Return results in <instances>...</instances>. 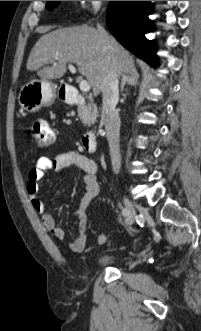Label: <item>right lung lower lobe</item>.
Instances as JSON below:
<instances>
[{
    "mask_svg": "<svg viewBox=\"0 0 201 331\" xmlns=\"http://www.w3.org/2000/svg\"><path fill=\"white\" fill-rule=\"evenodd\" d=\"M151 13L150 1H111L107 9V26L129 51L151 66H157L155 43L145 37L152 29L148 18Z\"/></svg>",
    "mask_w": 201,
    "mask_h": 331,
    "instance_id": "98d812e1",
    "label": "right lung lower lobe"
}]
</instances>
